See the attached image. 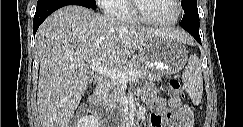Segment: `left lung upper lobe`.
<instances>
[{
    "instance_id": "left-lung-upper-lobe-1",
    "label": "left lung upper lobe",
    "mask_w": 243,
    "mask_h": 127,
    "mask_svg": "<svg viewBox=\"0 0 243 127\" xmlns=\"http://www.w3.org/2000/svg\"><path fill=\"white\" fill-rule=\"evenodd\" d=\"M184 12L197 11V0H182Z\"/></svg>"
}]
</instances>
